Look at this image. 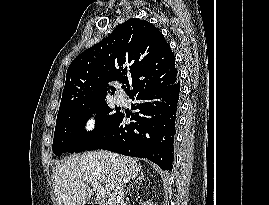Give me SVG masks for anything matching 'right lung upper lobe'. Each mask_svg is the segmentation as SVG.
<instances>
[{
    "instance_id": "cb5924a9",
    "label": "right lung upper lobe",
    "mask_w": 269,
    "mask_h": 205,
    "mask_svg": "<svg viewBox=\"0 0 269 205\" xmlns=\"http://www.w3.org/2000/svg\"><path fill=\"white\" fill-rule=\"evenodd\" d=\"M116 80L129 97L177 82L174 54L153 24L131 18L78 55L68 67L57 118L104 102L108 82Z\"/></svg>"
}]
</instances>
